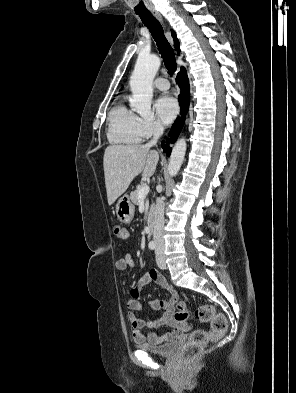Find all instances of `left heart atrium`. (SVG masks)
Returning <instances> with one entry per match:
<instances>
[{
    "mask_svg": "<svg viewBox=\"0 0 296 393\" xmlns=\"http://www.w3.org/2000/svg\"><path fill=\"white\" fill-rule=\"evenodd\" d=\"M154 108L159 120L163 124L171 123L178 114V104L169 95L159 97L154 104Z\"/></svg>",
    "mask_w": 296,
    "mask_h": 393,
    "instance_id": "39dd6f15",
    "label": "left heart atrium"
}]
</instances>
